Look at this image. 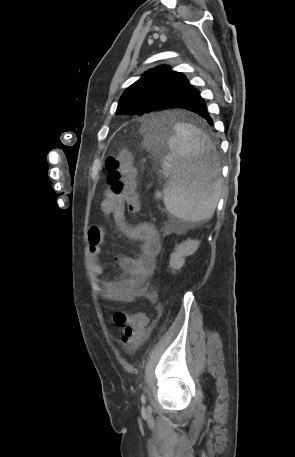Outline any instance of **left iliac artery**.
<instances>
[{
  "mask_svg": "<svg viewBox=\"0 0 295 457\" xmlns=\"http://www.w3.org/2000/svg\"><path fill=\"white\" fill-rule=\"evenodd\" d=\"M145 399H146L145 395H142V396H141V400H142V401H145Z\"/></svg>",
  "mask_w": 295,
  "mask_h": 457,
  "instance_id": "1",
  "label": "left iliac artery"
}]
</instances>
